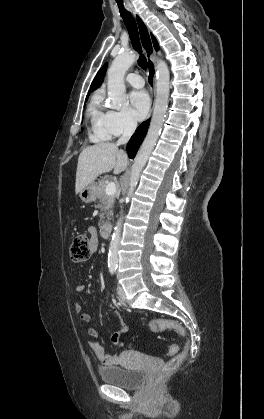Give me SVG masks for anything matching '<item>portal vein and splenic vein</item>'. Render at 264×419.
Returning <instances> with one entry per match:
<instances>
[{
    "instance_id": "1",
    "label": "portal vein and splenic vein",
    "mask_w": 264,
    "mask_h": 419,
    "mask_svg": "<svg viewBox=\"0 0 264 419\" xmlns=\"http://www.w3.org/2000/svg\"><path fill=\"white\" fill-rule=\"evenodd\" d=\"M105 193L107 195H113L116 193V185L114 182H109L105 188Z\"/></svg>"
}]
</instances>
